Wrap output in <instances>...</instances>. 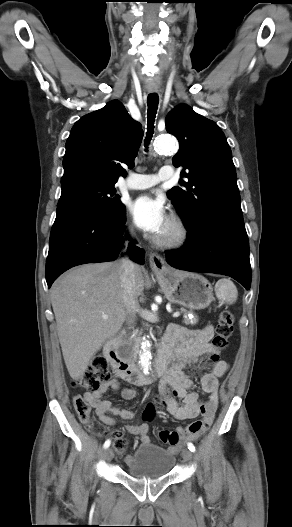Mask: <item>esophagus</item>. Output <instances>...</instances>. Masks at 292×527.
<instances>
[{
    "instance_id": "34e87169",
    "label": "esophagus",
    "mask_w": 292,
    "mask_h": 527,
    "mask_svg": "<svg viewBox=\"0 0 292 527\" xmlns=\"http://www.w3.org/2000/svg\"><path fill=\"white\" fill-rule=\"evenodd\" d=\"M149 264H150V267L151 269L154 271V272H162L164 270L167 269V265H166V262L164 260L163 257H161L159 254L157 253H150L149 254Z\"/></svg>"
}]
</instances>
